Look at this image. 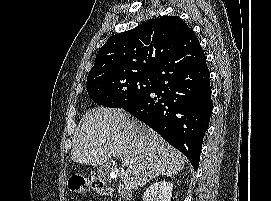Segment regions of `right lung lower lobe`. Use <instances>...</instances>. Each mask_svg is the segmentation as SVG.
I'll return each mask as SVG.
<instances>
[{"mask_svg": "<svg viewBox=\"0 0 271 201\" xmlns=\"http://www.w3.org/2000/svg\"><path fill=\"white\" fill-rule=\"evenodd\" d=\"M194 35H187L161 64L147 92L120 108L159 133L197 170L212 101L205 54Z\"/></svg>", "mask_w": 271, "mask_h": 201, "instance_id": "obj_1", "label": "right lung lower lobe"}]
</instances>
